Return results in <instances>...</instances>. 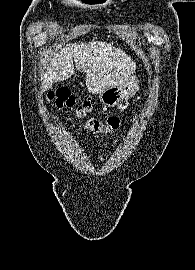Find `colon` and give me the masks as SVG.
<instances>
[{
  "label": "colon",
  "instance_id": "5ec220e1",
  "mask_svg": "<svg viewBox=\"0 0 195 270\" xmlns=\"http://www.w3.org/2000/svg\"><path fill=\"white\" fill-rule=\"evenodd\" d=\"M48 101L51 105L57 108L71 109L78 118L86 117L92 110V103L89 99L76 105L74 97L66 89H59L50 93ZM120 125V118L118 116L111 115L105 119L90 118L85 122L84 128L87 131L96 134H109L117 131Z\"/></svg>",
  "mask_w": 195,
  "mask_h": 270
}]
</instances>
